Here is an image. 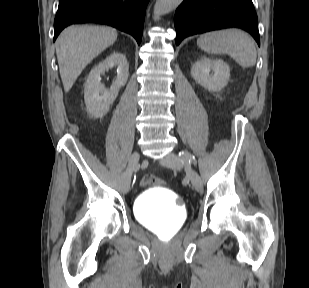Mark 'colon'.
<instances>
[{
	"label": "colon",
	"mask_w": 309,
	"mask_h": 288,
	"mask_svg": "<svg viewBox=\"0 0 309 288\" xmlns=\"http://www.w3.org/2000/svg\"><path fill=\"white\" fill-rule=\"evenodd\" d=\"M162 184L163 182L161 180H159L158 178L152 175H145L140 180V185L143 187L151 186V185L161 186Z\"/></svg>",
	"instance_id": "1"
}]
</instances>
